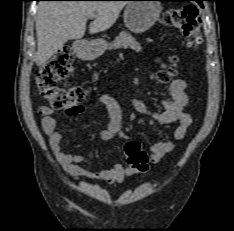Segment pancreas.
I'll list each match as a JSON object with an SVG mask.
<instances>
[{
    "instance_id": "cf45deb5",
    "label": "pancreas",
    "mask_w": 234,
    "mask_h": 231,
    "mask_svg": "<svg viewBox=\"0 0 234 231\" xmlns=\"http://www.w3.org/2000/svg\"><path fill=\"white\" fill-rule=\"evenodd\" d=\"M130 48L134 51H141L140 44L126 31H122L113 42L109 44L110 50Z\"/></svg>"
}]
</instances>
